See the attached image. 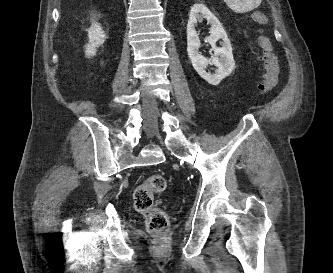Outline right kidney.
Masks as SVG:
<instances>
[{
  "instance_id": "right-kidney-1",
  "label": "right kidney",
  "mask_w": 333,
  "mask_h": 273,
  "mask_svg": "<svg viewBox=\"0 0 333 273\" xmlns=\"http://www.w3.org/2000/svg\"><path fill=\"white\" fill-rule=\"evenodd\" d=\"M89 43L85 46L86 57H91L96 54V48L103 44L106 39V34L104 33L102 27L97 22L92 23V26L88 29Z\"/></svg>"
}]
</instances>
